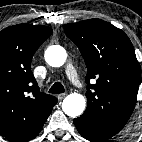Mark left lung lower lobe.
<instances>
[{
    "label": "left lung lower lobe",
    "mask_w": 142,
    "mask_h": 142,
    "mask_svg": "<svg viewBox=\"0 0 142 142\" xmlns=\"http://www.w3.org/2000/svg\"><path fill=\"white\" fill-rule=\"evenodd\" d=\"M74 123L79 133L92 142H104L115 135L98 128L91 120L84 116L75 118Z\"/></svg>",
    "instance_id": "left-lung-lower-lobe-1"
}]
</instances>
